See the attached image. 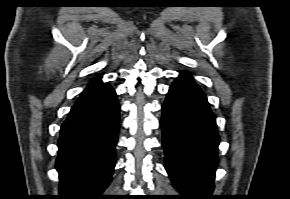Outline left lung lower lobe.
Instances as JSON below:
<instances>
[{"label":"left lung lower lobe","mask_w":290,"mask_h":199,"mask_svg":"<svg viewBox=\"0 0 290 199\" xmlns=\"http://www.w3.org/2000/svg\"><path fill=\"white\" fill-rule=\"evenodd\" d=\"M161 128L172 183L186 199L211 198L220 138L207 98L188 72H180L169 89Z\"/></svg>","instance_id":"left-lung-lower-lobe-1"}]
</instances>
